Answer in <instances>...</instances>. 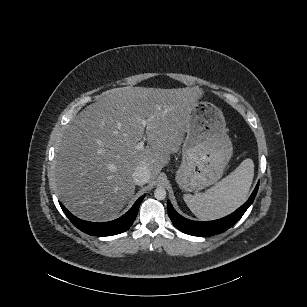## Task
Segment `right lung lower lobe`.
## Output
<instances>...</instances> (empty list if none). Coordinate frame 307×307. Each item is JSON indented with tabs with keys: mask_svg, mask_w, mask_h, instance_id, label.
I'll list each match as a JSON object with an SVG mask.
<instances>
[{
	"mask_svg": "<svg viewBox=\"0 0 307 307\" xmlns=\"http://www.w3.org/2000/svg\"><path fill=\"white\" fill-rule=\"evenodd\" d=\"M144 197L145 195L141 196L122 217L104 223L83 221L72 215L61 203L60 205L69 220L81 231L93 236H111L122 233L130 228L137 216L140 203Z\"/></svg>",
	"mask_w": 307,
	"mask_h": 307,
	"instance_id": "98d812e1",
	"label": "right lung lower lobe"
}]
</instances>
